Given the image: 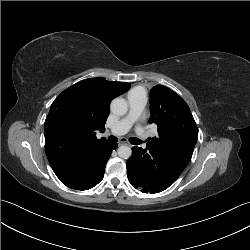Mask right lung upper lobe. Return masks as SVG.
I'll list each match as a JSON object with an SVG mask.
<instances>
[{
	"mask_svg": "<svg viewBox=\"0 0 250 250\" xmlns=\"http://www.w3.org/2000/svg\"><path fill=\"white\" fill-rule=\"evenodd\" d=\"M129 87L126 82L89 78L64 90L52 103L45 120V151L66 186L79 187L91 176L90 163L108 142L97 139L96 131L105 129L111 100Z\"/></svg>",
	"mask_w": 250,
	"mask_h": 250,
	"instance_id": "right-lung-upper-lobe-1",
	"label": "right lung upper lobe"
}]
</instances>
